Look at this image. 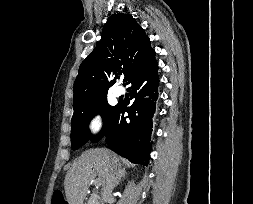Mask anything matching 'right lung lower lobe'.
<instances>
[{
    "mask_svg": "<svg viewBox=\"0 0 253 204\" xmlns=\"http://www.w3.org/2000/svg\"><path fill=\"white\" fill-rule=\"evenodd\" d=\"M158 63L151 50L144 62L130 75L124 85L133 104L118 103L104 134L109 148L135 164L147 165L150 158L152 116L158 98ZM127 112L128 116L123 117Z\"/></svg>",
    "mask_w": 253,
    "mask_h": 204,
    "instance_id": "1",
    "label": "right lung lower lobe"
}]
</instances>
